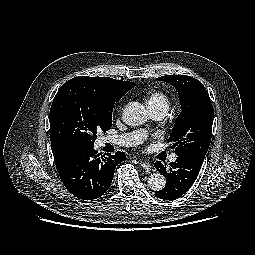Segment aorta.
<instances>
[{"instance_id":"obj_1","label":"aorta","mask_w":255,"mask_h":255,"mask_svg":"<svg viewBox=\"0 0 255 255\" xmlns=\"http://www.w3.org/2000/svg\"><path fill=\"white\" fill-rule=\"evenodd\" d=\"M147 118V110L139 102H130L123 110L122 119L127 125H142L147 121ZM147 184L151 190L160 191L165 187L166 179L161 173H152L148 177Z\"/></svg>"}]
</instances>
